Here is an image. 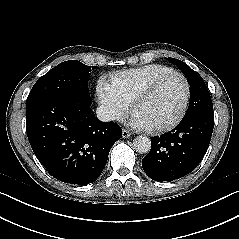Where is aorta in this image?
Returning <instances> with one entry per match:
<instances>
[{
	"instance_id": "aorta-1",
	"label": "aorta",
	"mask_w": 239,
	"mask_h": 239,
	"mask_svg": "<svg viewBox=\"0 0 239 239\" xmlns=\"http://www.w3.org/2000/svg\"><path fill=\"white\" fill-rule=\"evenodd\" d=\"M133 147L136 152L146 154L151 150V141L146 136H137L133 140Z\"/></svg>"
}]
</instances>
